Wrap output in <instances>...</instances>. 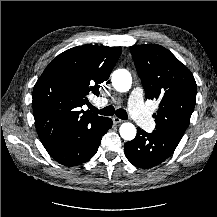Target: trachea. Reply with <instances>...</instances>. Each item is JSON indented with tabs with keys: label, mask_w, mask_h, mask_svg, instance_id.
Here are the masks:
<instances>
[{
	"label": "trachea",
	"mask_w": 217,
	"mask_h": 217,
	"mask_svg": "<svg viewBox=\"0 0 217 217\" xmlns=\"http://www.w3.org/2000/svg\"><path fill=\"white\" fill-rule=\"evenodd\" d=\"M89 108L91 109L92 112H95V113L100 114V115L112 116V115L116 114V116L120 119H123V120L128 119L127 112L124 109L119 108V109L115 110L114 106H112V105L107 106V107L100 109V110L97 109L96 107L92 106V105Z\"/></svg>",
	"instance_id": "3493384b"
}]
</instances>
